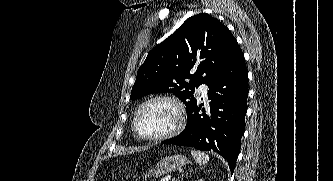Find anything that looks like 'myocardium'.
I'll return each instance as SVG.
<instances>
[{
  "label": "myocardium",
  "instance_id": "obj_1",
  "mask_svg": "<svg viewBox=\"0 0 333 181\" xmlns=\"http://www.w3.org/2000/svg\"><path fill=\"white\" fill-rule=\"evenodd\" d=\"M155 101H166L173 104L177 111V122L174 125V127L166 133H163L158 136H144L138 130L137 120L143 108ZM184 124H185V108L182 102L175 96L160 94L146 99L139 105L132 120V130L134 134L142 140L159 142L176 136L178 133L182 131Z\"/></svg>",
  "mask_w": 333,
  "mask_h": 181
}]
</instances>
